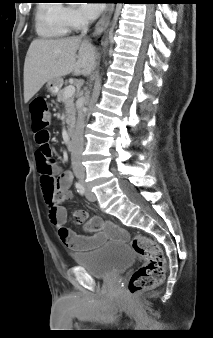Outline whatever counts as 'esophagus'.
Instances as JSON below:
<instances>
[{
    "label": "esophagus",
    "mask_w": 213,
    "mask_h": 338,
    "mask_svg": "<svg viewBox=\"0 0 213 338\" xmlns=\"http://www.w3.org/2000/svg\"><path fill=\"white\" fill-rule=\"evenodd\" d=\"M113 8H114V5L112 3L106 4L105 9H104L100 19L97 21V23L95 25L94 32H93L94 37L98 36L102 32L103 28L105 27V25L107 24V22L110 19V16L113 12Z\"/></svg>",
    "instance_id": "esophagus-1"
}]
</instances>
